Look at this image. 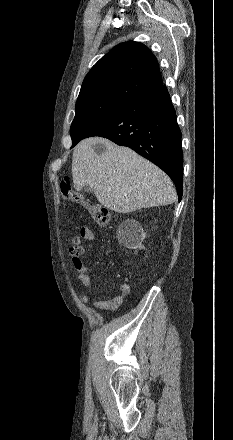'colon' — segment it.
<instances>
[{"mask_svg": "<svg viewBox=\"0 0 233 440\" xmlns=\"http://www.w3.org/2000/svg\"><path fill=\"white\" fill-rule=\"evenodd\" d=\"M60 192L63 198L69 199L88 210L94 221L101 227H107L111 223L109 211L99 205L93 204L72 190L69 177L60 180Z\"/></svg>", "mask_w": 233, "mask_h": 440, "instance_id": "colon-1", "label": "colon"}]
</instances>
